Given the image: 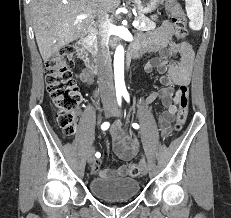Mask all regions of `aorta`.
<instances>
[{
    "label": "aorta",
    "instance_id": "aorta-1",
    "mask_svg": "<svg viewBox=\"0 0 231 218\" xmlns=\"http://www.w3.org/2000/svg\"><path fill=\"white\" fill-rule=\"evenodd\" d=\"M114 77L117 91L125 90L124 82V48L122 45L117 46L114 54Z\"/></svg>",
    "mask_w": 231,
    "mask_h": 218
}]
</instances>
